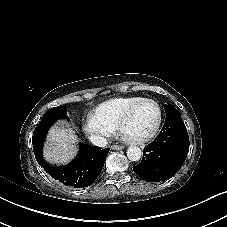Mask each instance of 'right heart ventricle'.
Segmentation results:
<instances>
[{
    "mask_svg": "<svg viewBox=\"0 0 227 227\" xmlns=\"http://www.w3.org/2000/svg\"><path fill=\"white\" fill-rule=\"evenodd\" d=\"M140 98H114L98 106L91 116L92 123L112 130L126 111Z\"/></svg>",
    "mask_w": 227,
    "mask_h": 227,
    "instance_id": "right-heart-ventricle-1",
    "label": "right heart ventricle"
}]
</instances>
